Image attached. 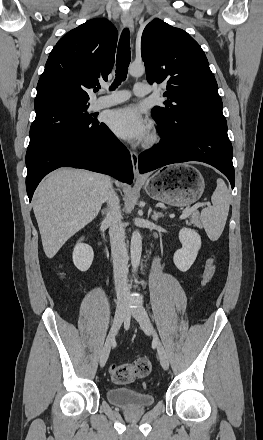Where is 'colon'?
<instances>
[{
  "mask_svg": "<svg viewBox=\"0 0 263 440\" xmlns=\"http://www.w3.org/2000/svg\"><path fill=\"white\" fill-rule=\"evenodd\" d=\"M216 270V261L214 258H210L205 268L204 285H208L212 282ZM150 370V361L146 357H139L132 362L113 364L110 367V376L115 383L129 384L137 379L146 377Z\"/></svg>",
  "mask_w": 263,
  "mask_h": 440,
  "instance_id": "colon-1",
  "label": "colon"
}]
</instances>
